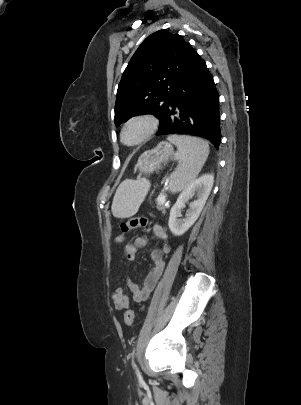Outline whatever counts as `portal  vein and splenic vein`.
I'll return each instance as SVG.
<instances>
[{
    "label": "portal vein and splenic vein",
    "mask_w": 301,
    "mask_h": 405,
    "mask_svg": "<svg viewBox=\"0 0 301 405\" xmlns=\"http://www.w3.org/2000/svg\"><path fill=\"white\" fill-rule=\"evenodd\" d=\"M157 202L164 203V202H165V197L162 196V195L158 196V197H157Z\"/></svg>",
    "instance_id": "18ae733b"
}]
</instances>
